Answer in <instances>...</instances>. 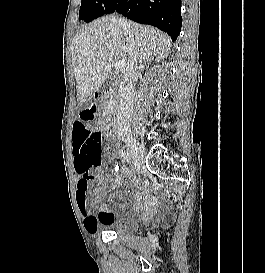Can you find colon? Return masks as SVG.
I'll list each match as a JSON object with an SVG mask.
<instances>
[{
	"mask_svg": "<svg viewBox=\"0 0 265 273\" xmlns=\"http://www.w3.org/2000/svg\"><path fill=\"white\" fill-rule=\"evenodd\" d=\"M101 141L100 131L76 129V150L79 154L78 162L81 172L88 173L100 164Z\"/></svg>",
	"mask_w": 265,
	"mask_h": 273,
	"instance_id": "5ec220e1",
	"label": "colon"
}]
</instances>
